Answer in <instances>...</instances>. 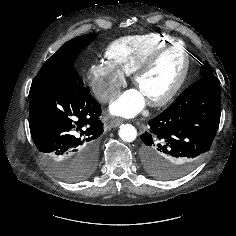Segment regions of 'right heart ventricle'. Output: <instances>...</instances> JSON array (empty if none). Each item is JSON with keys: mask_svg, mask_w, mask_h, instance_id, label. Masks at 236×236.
<instances>
[{"mask_svg": "<svg viewBox=\"0 0 236 236\" xmlns=\"http://www.w3.org/2000/svg\"><path fill=\"white\" fill-rule=\"evenodd\" d=\"M173 40L171 35L162 33L128 36L108 45L105 56L121 74L131 75L151 53Z\"/></svg>", "mask_w": 236, "mask_h": 236, "instance_id": "1", "label": "right heart ventricle"}]
</instances>
